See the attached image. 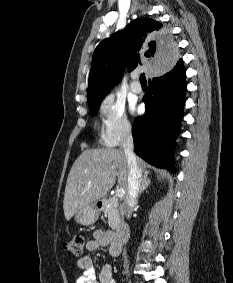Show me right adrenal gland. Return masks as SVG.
I'll list each match as a JSON object with an SVG mask.
<instances>
[{
    "label": "right adrenal gland",
    "mask_w": 233,
    "mask_h": 283,
    "mask_svg": "<svg viewBox=\"0 0 233 283\" xmlns=\"http://www.w3.org/2000/svg\"><path fill=\"white\" fill-rule=\"evenodd\" d=\"M151 184V180L144 175L138 195L142 194Z\"/></svg>",
    "instance_id": "obj_1"
}]
</instances>
